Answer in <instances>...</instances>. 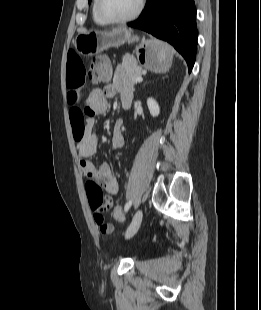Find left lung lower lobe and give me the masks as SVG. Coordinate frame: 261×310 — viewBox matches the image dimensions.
<instances>
[{
	"label": "left lung lower lobe",
	"instance_id": "obj_1",
	"mask_svg": "<svg viewBox=\"0 0 261 310\" xmlns=\"http://www.w3.org/2000/svg\"><path fill=\"white\" fill-rule=\"evenodd\" d=\"M128 26L170 43L185 58L191 72L198 37L194 0H147L140 17Z\"/></svg>",
	"mask_w": 261,
	"mask_h": 310
}]
</instances>
